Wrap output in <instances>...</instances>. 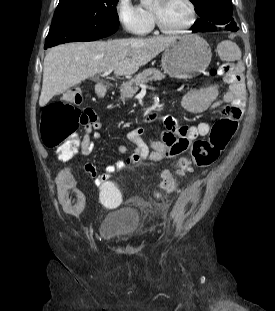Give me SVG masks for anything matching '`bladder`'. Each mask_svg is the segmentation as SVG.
Wrapping results in <instances>:
<instances>
[{
  "label": "bladder",
  "mask_w": 275,
  "mask_h": 311,
  "mask_svg": "<svg viewBox=\"0 0 275 311\" xmlns=\"http://www.w3.org/2000/svg\"><path fill=\"white\" fill-rule=\"evenodd\" d=\"M140 224V214L136 209H117L103 217L99 225V235L107 240L126 241L137 235Z\"/></svg>",
  "instance_id": "31cf9c89"
}]
</instances>
